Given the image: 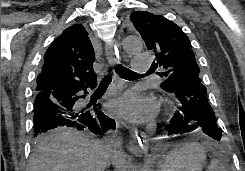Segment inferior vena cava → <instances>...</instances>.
I'll use <instances>...</instances> for the list:
<instances>
[{"label": "inferior vena cava", "instance_id": "obj_1", "mask_svg": "<svg viewBox=\"0 0 245 171\" xmlns=\"http://www.w3.org/2000/svg\"><path fill=\"white\" fill-rule=\"evenodd\" d=\"M121 146V139L118 137H114L113 139V148H114V153L115 157H119L120 159H123V155L120 150H117Z\"/></svg>", "mask_w": 245, "mask_h": 171}]
</instances>
